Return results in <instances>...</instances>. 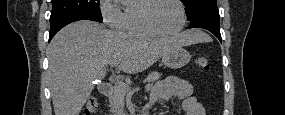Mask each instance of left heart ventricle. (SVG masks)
Returning <instances> with one entry per match:
<instances>
[{"label": "left heart ventricle", "instance_id": "1", "mask_svg": "<svg viewBox=\"0 0 285 115\" xmlns=\"http://www.w3.org/2000/svg\"><path fill=\"white\" fill-rule=\"evenodd\" d=\"M150 20L156 28L171 32L178 28L181 21L179 7L172 1L157 2L150 11Z\"/></svg>", "mask_w": 285, "mask_h": 115}]
</instances>
